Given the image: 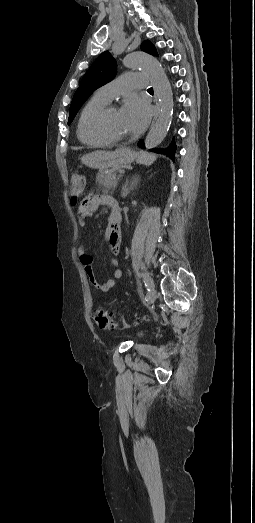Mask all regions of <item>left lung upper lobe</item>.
<instances>
[{"mask_svg":"<svg viewBox=\"0 0 255 523\" xmlns=\"http://www.w3.org/2000/svg\"><path fill=\"white\" fill-rule=\"evenodd\" d=\"M141 49L146 53L158 56L155 46L149 40H146L141 44ZM115 75L116 61L111 54L106 51L95 60L82 78L80 86L75 92L70 105L68 124L72 122L78 110L88 97L96 89L113 80ZM157 149L158 148H155L153 151L157 152Z\"/></svg>","mask_w":255,"mask_h":523,"instance_id":"left-lung-upper-lobe-1","label":"left lung upper lobe"}]
</instances>
